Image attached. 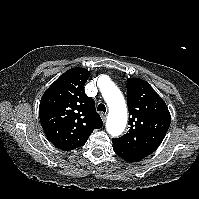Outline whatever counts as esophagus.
I'll list each match as a JSON object with an SVG mask.
<instances>
[{
  "label": "esophagus",
  "mask_w": 199,
  "mask_h": 199,
  "mask_svg": "<svg viewBox=\"0 0 199 199\" xmlns=\"http://www.w3.org/2000/svg\"><path fill=\"white\" fill-rule=\"evenodd\" d=\"M100 116H101L102 121L105 122L106 121V115L101 113Z\"/></svg>",
  "instance_id": "1"
}]
</instances>
